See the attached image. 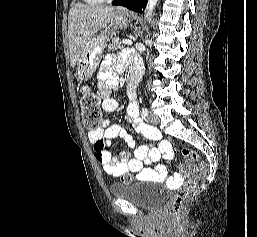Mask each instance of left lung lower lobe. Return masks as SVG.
Wrapping results in <instances>:
<instances>
[{
    "label": "left lung lower lobe",
    "instance_id": "1",
    "mask_svg": "<svg viewBox=\"0 0 257 237\" xmlns=\"http://www.w3.org/2000/svg\"><path fill=\"white\" fill-rule=\"evenodd\" d=\"M148 0H117L112 2L113 5H121L130 10L142 13L145 9Z\"/></svg>",
    "mask_w": 257,
    "mask_h": 237
}]
</instances>
